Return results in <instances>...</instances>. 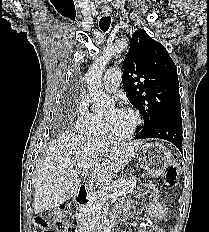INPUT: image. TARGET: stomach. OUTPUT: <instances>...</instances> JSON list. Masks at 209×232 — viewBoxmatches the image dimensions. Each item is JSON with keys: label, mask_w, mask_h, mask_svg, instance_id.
I'll use <instances>...</instances> for the list:
<instances>
[{"label": "stomach", "mask_w": 209, "mask_h": 232, "mask_svg": "<svg viewBox=\"0 0 209 232\" xmlns=\"http://www.w3.org/2000/svg\"><path fill=\"white\" fill-rule=\"evenodd\" d=\"M139 153L144 170L153 177L162 175L170 164V152L160 143H147Z\"/></svg>", "instance_id": "obj_1"}]
</instances>
